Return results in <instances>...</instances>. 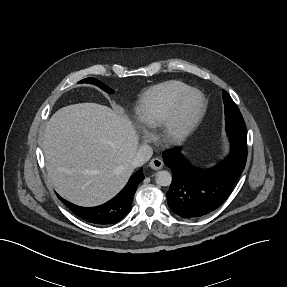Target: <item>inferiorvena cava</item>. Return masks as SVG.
Here are the masks:
<instances>
[{"label": "inferior vena cava", "instance_id": "1", "mask_svg": "<svg viewBox=\"0 0 287 287\" xmlns=\"http://www.w3.org/2000/svg\"><path fill=\"white\" fill-rule=\"evenodd\" d=\"M152 148L149 145H142L137 150L134 158L132 159V166L139 167L146 163L152 156Z\"/></svg>", "mask_w": 287, "mask_h": 287}]
</instances>
